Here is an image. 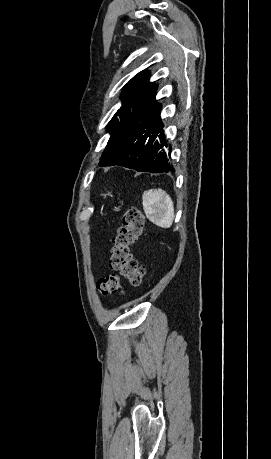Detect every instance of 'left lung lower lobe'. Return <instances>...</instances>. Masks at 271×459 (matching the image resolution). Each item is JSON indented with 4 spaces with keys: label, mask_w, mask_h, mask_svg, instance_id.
<instances>
[{
    "label": "left lung lower lobe",
    "mask_w": 271,
    "mask_h": 459,
    "mask_svg": "<svg viewBox=\"0 0 271 459\" xmlns=\"http://www.w3.org/2000/svg\"><path fill=\"white\" fill-rule=\"evenodd\" d=\"M156 93V91H155ZM142 117H130L111 133L108 152L100 166L120 165L151 173L175 172L170 164L172 147L167 144L160 117L161 104Z\"/></svg>",
    "instance_id": "left-lung-lower-lobe-1"
}]
</instances>
